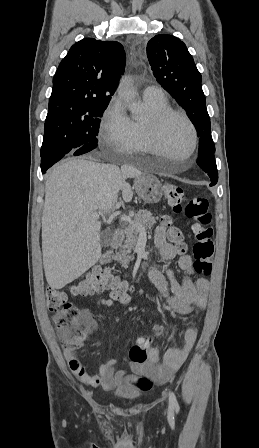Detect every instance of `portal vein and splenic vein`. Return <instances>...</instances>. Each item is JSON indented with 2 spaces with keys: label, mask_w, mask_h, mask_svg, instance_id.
<instances>
[{
  "label": "portal vein and splenic vein",
  "mask_w": 259,
  "mask_h": 448,
  "mask_svg": "<svg viewBox=\"0 0 259 448\" xmlns=\"http://www.w3.org/2000/svg\"><path fill=\"white\" fill-rule=\"evenodd\" d=\"M92 216L93 218H95V220H98L99 218V214H97V212H93ZM120 220H122V222H129V224H134V226H136V228L140 230V234H146V230L145 228H143L142 224H135V222L131 220L130 216H121Z\"/></svg>",
  "instance_id": "portal-vein-and-splenic-vein-1"
}]
</instances>
